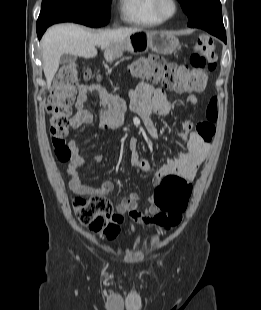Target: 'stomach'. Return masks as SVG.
<instances>
[{"mask_svg":"<svg viewBox=\"0 0 261 310\" xmlns=\"http://www.w3.org/2000/svg\"><path fill=\"white\" fill-rule=\"evenodd\" d=\"M179 45L178 39L169 32L164 31H138L131 34L121 42L112 44L105 57L113 61L122 56L124 51L139 54L151 49L155 53L168 55L173 53Z\"/></svg>","mask_w":261,"mask_h":310,"instance_id":"0dacf381","label":"stomach"}]
</instances>
